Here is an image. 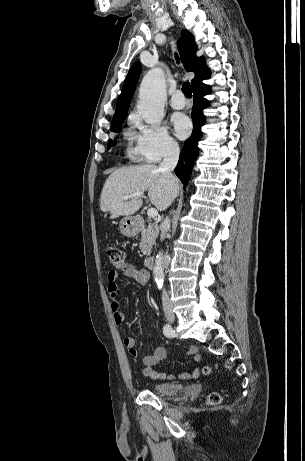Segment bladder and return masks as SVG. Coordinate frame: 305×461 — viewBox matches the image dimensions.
<instances>
[{
    "label": "bladder",
    "instance_id": "obj_1",
    "mask_svg": "<svg viewBox=\"0 0 305 461\" xmlns=\"http://www.w3.org/2000/svg\"><path fill=\"white\" fill-rule=\"evenodd\" d=\"M152 391L161 395H173L183 389V385L173 382H154L150 385Z\"/></svg>",
    "mask_w": 305,
    "mask_h": 461
}]
</instances>
